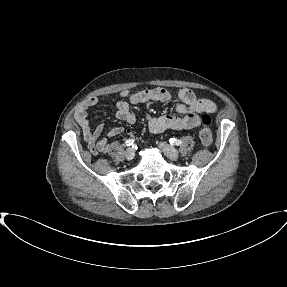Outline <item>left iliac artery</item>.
<instances>
[{
  "label": "left iliac artery",
  "mask_w": 287,
  "mask_h": 287,
  "mask_svg": "<svg viewBox=\"0 0 287 287\" xmlns=\"http://www.w3.org/2000/svg\"><path fill=\"white\" fill-rule=\"evenodd\" d=\"M169 142H170V144L177 145V146H180L182 144L181 140L176 139V138H170Z\"/></svg>",
  "instance_id": "44dca946"
}]
</instances>
